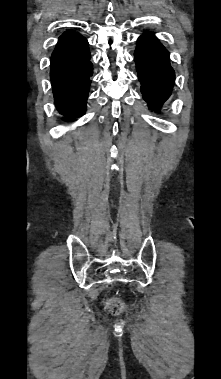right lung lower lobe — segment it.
<instances>
[{
  "label": "right lung lower lobe",
  "mask_w": 221,
  "mask_h": 379,
  "mask_svg": "<svg viewBox=\"0 0 221 379\" xmlns=\"http://www.w3.org/2000/svg\"><path fill=\"white\" fill-rule=\"evenodd\" d=\"M87 40L68 30L58 40L51 57L50 77L58 111L66 120L85 113L92 75Z\"/></svg>",
  "instance_id": "obj_1"
}]
</instances>
